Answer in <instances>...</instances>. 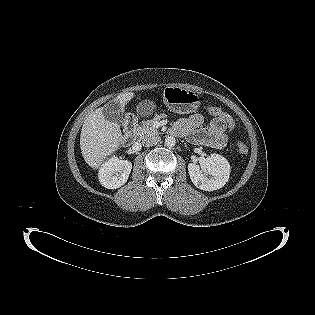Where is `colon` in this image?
Returning a JSON list of instances; mask_svg holds the SVG:
<instances>
[{
    "label": "colon",
    "mask_w": 315,
    "mask_h": 315,
    "mask_svg": "<svg viewBox=\"0 0 315 315\" xmlns=\"http://www.w3.org/2000/svg\"><path fill=\"white\" fill-rule=\"evenodd\" d=\"M208 111L216 119L224 120L225 124L227 125V129L230 132H233L236 129V118L232 117L230 112L223 111L221 106H209ZM235 150L239 154H246L248 152V147L246 144L238 142L235 145Z\"/></svg>",
    "instance_id": "1"
}]
</instances>
